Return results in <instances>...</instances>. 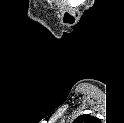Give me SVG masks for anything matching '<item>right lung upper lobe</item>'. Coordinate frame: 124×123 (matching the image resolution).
<instances>
[{"label":"right lung upper lobe","instance_id":"right-lung-upper-lobe-1","mask_svg":"<svg viewBox=\"0 0 124 123\" xmlns=\"http://www.w3.org/2000/svg\"><path fill=\"white\" fill-rule=\"evenodd\" d=\"M92 119H94V117H92V116H90L88 114H83V115H80L79 117H77L74 122L81 123V122L90 121Z\"/></svg>","mask_w":124,"mask_h":123}]
</instances>
